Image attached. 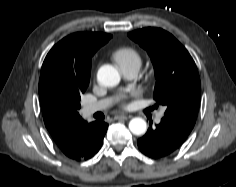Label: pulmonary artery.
<instances>
[{"instance_id": "1", "label": "pulmonary artery", "mask_w": 236, "mask_h": 187, "mask_svg": "<svg viewBox=\"0 0 236 187\" xmlns=\"http://www.w3.org/2000/svg\"><path fill=\"white\" fill-rule=\"evenodd\" d=\"M137 72H138L137 70L131 69L124 71L123 74L126 78L132 79L137 75ZM111 102H112L111 99H102L94 103L86 104L83 107V113L85 116H90L95 112L106 109L107 107L110 106ZM162 117H163V112L161 111L156 116V122L159 123Z\"/></svg>"}]
</instances>
